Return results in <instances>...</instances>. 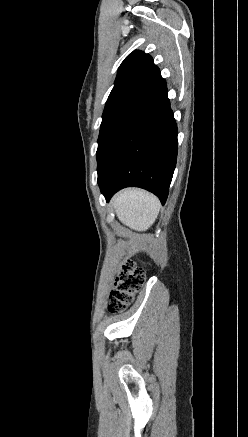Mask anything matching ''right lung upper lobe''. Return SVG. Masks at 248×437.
Instances as JSON below:
<instances>
[{
	"label": "right lung upper lobe",
	"instance_id": "right-lung-upper-lobe-1",
	"mask_svg": "<svg viewBox=\"0 0 248 437\" xmlns=\"http://www.w3.org/2000/svg\"><path fill=\"white\" fill-rule=\"evenodd\" d=\"M159 76L160 70L154 64L151 56L142 51H133L120 65L107 102L128 93H141Z\"/></svg>",
	"mask_w": 248,
	"mask_h": 437
}]
</instances>
